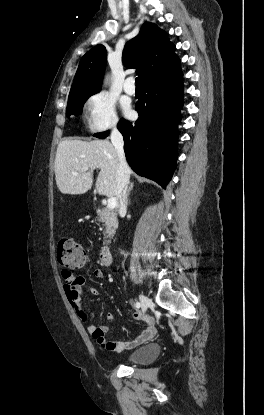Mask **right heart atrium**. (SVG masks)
Returning a JSON list of instances; mask_svg holds the SVG:
<instances>
[{
	"label": "right heart atrium",
	"instance_id": "1",
	"mask_svg": "<svg viewBox=\"0 0 264 415\" xmlns=\"http://www.w3.org/2000/svg\"><path fill=\"white\" fill-rule=\"evenodd\" d=\"M87 123L93 131L115 128L118 122L114 100L106 93L93 94L86 103Z\"/></svg>",
	"mask_w": 264,
	"mask_h": 415
}]
</instances>
